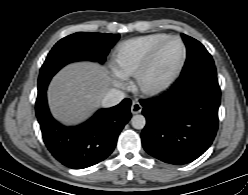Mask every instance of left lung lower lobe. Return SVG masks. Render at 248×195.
<instances>
[{
    "label": "left lung lower lobe",
    "instance_id": "obj_1",
    "mask_svg": "<svg viewBox=\"0 0 248 195\" xmlns=\"http://www.w3.org/2000/svg\"><path fill=\"white\" fill-rule=\"evenodd\" d=\"M221 91L217 77L180 78L161 96L142 100L145 151L166 163L183 165L201 156L218 129Z\"/></svg>",
    "mask_w": 248,
    "mask_h": 195
}]
</instances>
